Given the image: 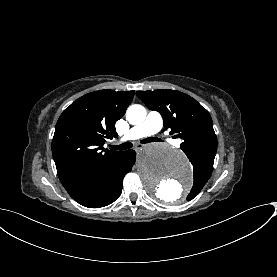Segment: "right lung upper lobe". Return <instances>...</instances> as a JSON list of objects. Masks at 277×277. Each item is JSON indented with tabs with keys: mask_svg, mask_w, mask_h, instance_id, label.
<instances>
[{
	"mask_svg": "<svg viewBox=\"0 0 277 277\" xmlns=\"http://www.w3.org/2000/svg\"><path fill=\"white\" fill-rule=\"evenodd\" d=\"M134 91L88 93L60 115L52 140L59 179L67 189L80 177L121 152L104 149L105 138L117 137L115 122L126 112Z\"/></svg>",
	"mask_w": 277,
	"mask_h": 277,
	"instance_id": "obj_1",
	"label": "right lung upper lobe"
}]
</instances>
